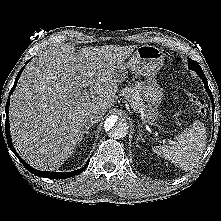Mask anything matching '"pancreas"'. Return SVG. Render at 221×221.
Wrapping results in <instances>:
<instances>
[{
    "instance_id": "obj_1",
    "label": "pancreas",
    "mask_w": 221,
    "mask_h": 221,
    "mask_svg": "<svg viewBox=\"0 0 221 221\" xmlns=\"http://www.w3.org/2000/svg\"><path fill=\"white\" fill-rule=\"evenodd\" d=\"M123 96L130 104L134 111L140 112L144 109V101L138 86L125 87L121 90Z\"/></svg>"
}]
</instances>
